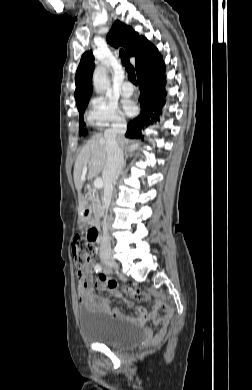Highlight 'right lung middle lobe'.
Instances as JSON below:
<instances>
[{
	"instance_id": "1",
	"label": "right lung middle lobe",
	"mask_w": 252,
	"mask_h": 390,
	"mask_svg": "<svg viewBox=\"0 0 252 390\" xmlns=\"http://www.w3.org/2000/svg\"><path fill=\"white\" fill-rule=\"evenodd\" d=\"M87 106V105H86ZM86 106H83L81 108H78L79 110V115H80V126H79V130L82 129V133L85 135L87 132L86 130H83V125H84V121H83V113H84V110L86 108Z\"/></svg>"
}]
</instances>
